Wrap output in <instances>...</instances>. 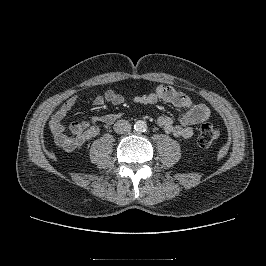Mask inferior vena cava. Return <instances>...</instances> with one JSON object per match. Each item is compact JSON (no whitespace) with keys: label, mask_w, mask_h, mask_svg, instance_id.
I'll use <instances>...</instances> for the list:
<instances>
[{"label":"inferior vena cava","mask_w":266,"mask_h":266,"mask_svg":"<svg viewBox=\"0 0 266 266\" xmlns=\"http://www.w3.org/2000/svg\"><path fill=\"white\" fill-rule=\"evenodd\" d=\"M131 130V124L126 120H118L114 124V131L118 134L127 133Z\"/></svg>","instance_id":"1"}]
</instances>
